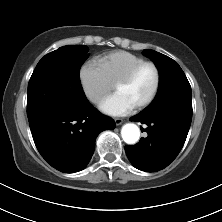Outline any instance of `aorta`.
<instances>
[{
    "instance_id": "obj_1",
    "label": "aorta",
    "mask_w": 222,
    "mask_h": 222,
    "mask_svg": "<svg viewBox=\"0 0 222 222\" xmlns=\"http://www.w3.org/2000/svg\"><path fill=\"white\" fill-rule=\"evenodd\" d=\"M121 136L125 143L133 145L139 141L140 130L137 125L128 123L122 127Z\"/></svg>"
}]
</instances>
